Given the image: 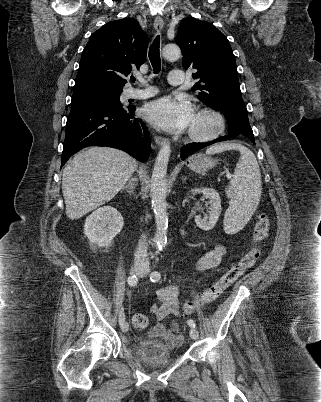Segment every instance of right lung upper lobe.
Listing matches in <instances>:
<instances>
[{"label":"right lung upper lobe","mask_w":321,"mask_h":402,"mask_svg":"<svg viewBox=\"0 0 321 402\" xmlns=\"http://www.w3.org/2000/svg\"><path fill=\"white\" fill-rule=\"evenodd\" d=\"M148 37L132 18L111 21L94 32L83 50L75 85L122 89L131 70L146 60Z\"/></svg>","instance_id":"cb5924a9"}]
</instances>
